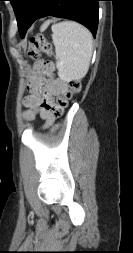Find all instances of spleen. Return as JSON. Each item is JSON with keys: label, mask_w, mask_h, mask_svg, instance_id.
<instances>
[{"label": "spleen", "mask_w": 133, "mask_h": 253, "mask_svg": "<svg viewBox=\"0 0 133 253\" xmlns=\"http://www.w3.org/2000/svg\"><path fill=\"white\" fill-rule=\"evenodd\" d=\"M58 76L63 81L82 79L88 72L93 51L92 34L74 21L52 25Z\"/></svg>", "instance_id": "obj_1"}]
</instances>
